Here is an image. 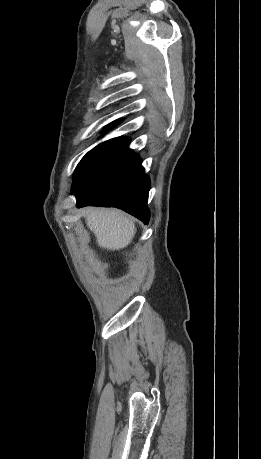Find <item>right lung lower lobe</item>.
<instances>
[{"label":"right lung lower lobe","mask_w":261,"mask_h":459,"mask_svg":"<svg viewBox=\"0 0 261 459\" xmlns=\"http://www.w3.org/2000/svg\"><path fill=\"white\" fill-rule=\"evenodd\" d=\"M150 180L137 154L105 177L86 197L77 198L76 206L117 207L134 215L144 223L149 221L147 208Z\"/></svg>","instance_id":"right-lung-lower-lobe-1"}]
</instances>
